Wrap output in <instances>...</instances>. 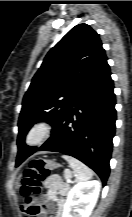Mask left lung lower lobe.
I'll return each instance as SVG.
<instances>
[{"mask_svg":"<svg viewBox=\"0 0 132 217\" xmlns=\"http://www.w3.org/2000/svg\"><path fill=\"white\" fill-rule=\"evenodd\" d=\"M113 90L106 60L61 117L50 138L34 152L54 151L73 156L93 169L105 185L115 134L116 101ZM17 145L16 166H19L34 152L28 153L21 139Z\"/></svg>","mask_w":132,"mask_h":217,"instance_id":"0a47b994","label":"left lung lower lobe"}]
</instances>
